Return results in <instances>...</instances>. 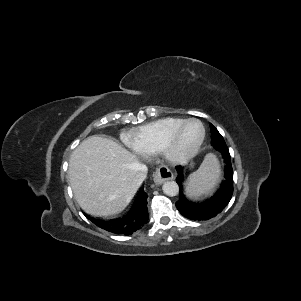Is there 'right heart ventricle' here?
Segmentation results:
<instances>
[{"mask_svg":"<svg viewBox=\"0 0 301 301\" xmlns=\"http://www.w3.org/2000/svg\"><path fill=\"white\" fill-rule=\"evenodd\" d=\"M185 120L168 117L140 126L130 133L129 143L143 155L157 154L160 152L165 139Z\"/></svg>","mask_w":301,"mask_h":301,"instance_id":"1","label":"right heart ventricle"}]
</instances>
